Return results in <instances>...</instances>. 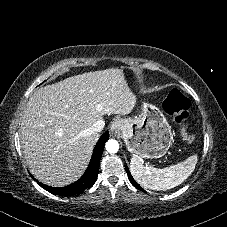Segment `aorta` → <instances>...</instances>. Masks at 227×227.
I'll return each instance as SVG.
<instances>
[{
	"label": "aorta",
	"instance_id": "1",
	"mask_svg": "<svg viewBox=\"0 0 227 227\" xmlns=\"http://www.w3.org/2000/svg\"><path fill=\"white\" fill-rule=\"evenodd\" d=\"M105 148L109 153H116L119 150V143L114 139H110L106 142Z\"/></svg>",
	"mask_w": 227,
	"mask_h": 227
}]
</instances>
